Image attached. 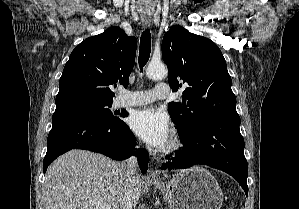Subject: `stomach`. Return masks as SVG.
<instances>
[{"label": "stomach", "mask_w": 299, "mask_h": 209, "mask_svg": "<svg viewBox=\"0 0 299 209\" xmlns=\"http://www.w3.org/2000/svg\"><path fill=\"white\" fill-rule=\"evenodd\" d=\"M171 209H220L223 193L213 175L202 167L181 170L168 182H154Z\"/></svg>", "instance_id": "0dacf381"}]
</instances>
